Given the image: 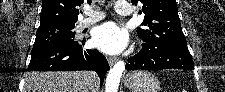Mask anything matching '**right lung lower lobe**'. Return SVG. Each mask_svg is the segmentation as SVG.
I'll return each instance as SVG.
<instances>
[{"mask_svg": "<svg viewBox=\"0 0 225 92\" xmlns=\"http://www.w3.org/2000/svg\"><path fill=\"white\" fill-rule=\"evenodd\" d=\"M85 42L53 43L32 49L30 71L93 70L103 83L109 64L98 50H84Z\"/></svg>", "mask_w": 225, "mask_h": 92, "instance_id": "right-lung-lower-lobe-1", "label": "right lung lower lobe"}]
</instances>
